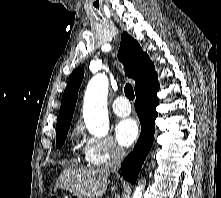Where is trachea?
<instances>
[{"label": "trachea", "instance_id": "trachea-1", "mask_svg": "<svg viewBox=\"0 0 221 198\" xmlns=\"http://www.w3.org/2000/svg\"><path fill=\"white\" fill-rule=\"evenodd\" d=\"M124 92L127 98L133 100L135 98L133 87L130 84H126Z\"/></svg>", "mask_w": 221, "mask_h": 198}]
</instances>
